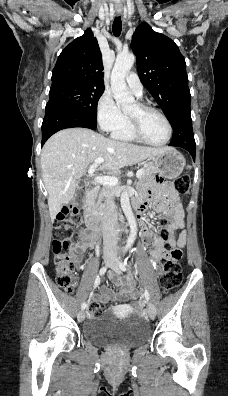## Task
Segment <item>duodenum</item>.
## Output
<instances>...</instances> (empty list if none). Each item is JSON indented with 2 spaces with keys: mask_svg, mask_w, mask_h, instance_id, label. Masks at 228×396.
Instances as JSON below:
<instances>
[{
  "mask_svg": "<svg viewBox=\"0 0 228 396\" xmlns=\"http://www.w3.org/2000/svg\"><path fill=\"white\" fill-rule=\"evenodd\" d=\"M92 191H93V187L88 186L86 189V195L88 197H90L92 194ZM84 217H85V222H86L87 228L90 229L91 231H93L97 236H98V234H101L104 232V221L101 217L93 214L88 209L85 211Z\"/></svg>",
  "mask_w": 228,
  "mask_h": 396,
  "instance_id": "410a0bca",
  "label": "duodenum"
}]
</instances>
